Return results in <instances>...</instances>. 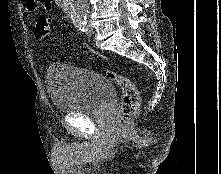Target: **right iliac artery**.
I'll use <instances>...</instances> for the list:
<instances>
[{
    "instance_id": "1",
    "label": "right iliac artery",
    "mask_w": 221,
    "mask_h": 174,
    "mask_svg": "<svg viewBox=\"0 0 221 174\" xmlns=\"http://www.w3.org/2000/svg\"><path fill=\"white\" fill-rule=\"evenodd\" d=\"M73 24L76 28H78L79 30H83L84 28V25H85V21H82V20H79V19H76L73 21Z\"/></svg>"
}]
</instances>
